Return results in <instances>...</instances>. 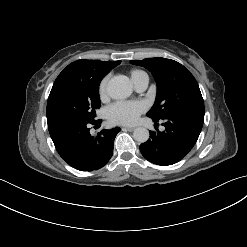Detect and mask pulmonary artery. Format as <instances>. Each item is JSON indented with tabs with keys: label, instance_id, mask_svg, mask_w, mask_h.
I'll return each instance as SVG.
<instances>
[{
	"label": "pulmonary artery",
	"instance_id": "e3ab8cb5",
	"mask_svg": "<svg viewBox=\"0 0 247 247\" xmlns=\"http://www.w3.org/2000/svg\"><path fill=\"white\" fill-rule=\"evenodd\" d=\"M147 84H148V79L145 78L140 79L134 83V88L136 89V91L142 92L146 89Z\"/></svg>",
	"mask_w": 247,
	"mask_h": 247
}]
</instances>
